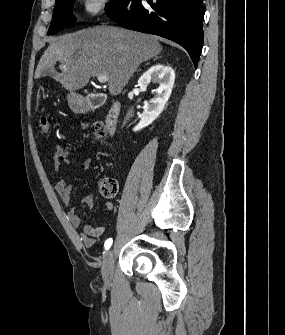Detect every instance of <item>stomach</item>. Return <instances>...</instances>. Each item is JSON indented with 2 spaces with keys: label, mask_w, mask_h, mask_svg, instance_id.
<instances>
[{
  "label": "stomach",
  "mask_w": 285,
  "mask_h": 335,
  "mask_svg": "<svg viewBox=\"0 0 285 335\" xmlns=\"http://www.w3.org/2000/svg\"><path fill=\"white\" fill-rule=\"evenodd\" d=\"M70 104H71V106H74V108H75V110H77V112H79V110H82L83 100H82L81 96H75V94H71Z\"/></svg>",
  "instance_id": "1"
}]
</instances>
